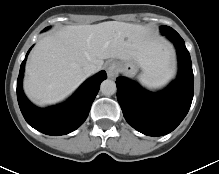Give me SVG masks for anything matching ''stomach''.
<instances>
[{
  "instance_id": "0dacf381",
  "label": "stomach",
  "mask_w": 219,
  "mask_h": 174,
  "mask_svg": "<svg viewBox=\"0 0 219 174\" xmlns=\"http://www.w3.org/2000/svg\"><path fill=\"white\" fill-rule=\"evenodd\" d=\"M118 67L121 71L130 75L137 71V65L134 60L122 61L118 64Z\"/></svg>"
}]
</instances>
